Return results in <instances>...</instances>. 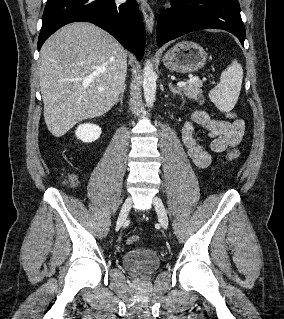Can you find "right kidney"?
<instances>
[{
    "mask_svg": "<svg viewBox=\"0 0 284 319\" xmlns=\"http://www.w3.org/2000/svg\"><path fill=\"white\" fill-rule=\"evenodd\" d=\"M78 139L85 143L96 141L101 135V128L96 124L85 123L78 126L75 131Z\"/></svg>",
    "mask_w": 284,
    "mask_h": 319,
    "instance_id": "obj_1",
    "label": "right kidney"
}]
</instances>
